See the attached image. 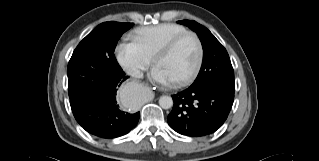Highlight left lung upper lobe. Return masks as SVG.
<instances>
[{
    "mask_svg": "<svg viewBox=\"0 0 319 161\" xmlns=\"http://www.w3.org/2000/svg\"><path fill=\"white\" fill-rule=\"evenodd\" d=\"M178 23L186 25L196 32L203 47L202 67L192 85L215 86L234 92V71L223 45L206 27L196 21L182 20Z\"/></svg>",
    "mask_w": 319,
    "mask_h": 161,
    "instance_id": "left-lung-upper-lobe-1",
    "label": "left lung upper lobe"
}]
</instances>
